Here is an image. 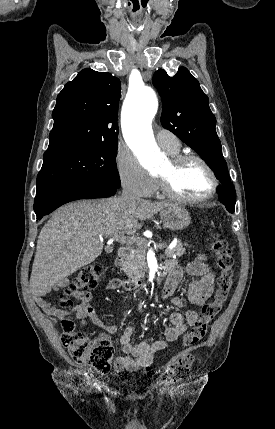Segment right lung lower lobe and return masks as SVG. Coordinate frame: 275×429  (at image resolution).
<instances>
[{
    "mask_svg": "<svg viewBox=\"0 0 275 429\" xmlns=\"http://www.w3.org/2000/svg\"><path fill=\"white\" fill-rule=\"evenodd\" d=\"M116 189L88 181L65 184L36 195L34 211L37 219L40 220L67 202L78 199L110 197L116 193Z\"/></svg>",
    "mask_w": 275,
    "mask_h": 429,
    "instance_id": "1",
    "label": "right lung lower lobe"
}]
</instances>
